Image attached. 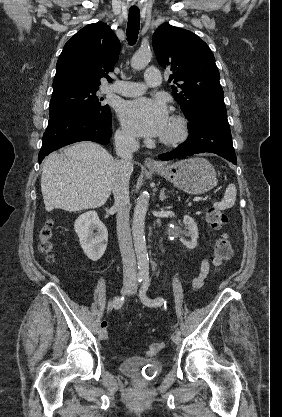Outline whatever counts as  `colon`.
<instances>
[{
	"label": "colon",
	"instance_id": "colon-1",
	"mask_svg": "<svg viewBox=\"0 0 282 417\" xmlns=\"http://www.w3.org/2000/svg\"><path fill=\"white\" fill-rule=\"evenodd\" d=\"M207 223L214 229H221L227 224V216L218 209H208L205 215ZM54 226L53 223L46 222L39 232V250L47 260L52 261L54 254ZM233 256V245L228 237H218L214 243L213 266L221 268L226 265ZM163 349V343L152 342L145 349V356L153 358Z\"/></svg>",
	"mask_w": 282,
	"mask_h": 417
}]
</instances>
